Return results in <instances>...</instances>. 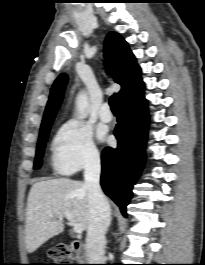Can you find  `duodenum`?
<instances>
[{
	"mask_svg": "<svg viewBox=\"0 0 205 265\" xmlns=\"http://www.w3.org/2000/svg\"><path fill=\"white\" fill-rule=\"evenodd\" d=\"M71 247L73 251L75 252L79 262H84L86 260L85 246L81 242L74 240L71 242Z\"/></svg>",
	"mask_w": 205,
	"mask_h": 265,
	"instance_id": "1",
	"label": "duodenum"
}]
</instances>
